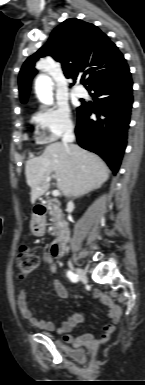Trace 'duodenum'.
I'll return each instance as SVG.
<instances>
[{
	"mask_svg": "<svg viewBox=\"0 0 145 385\" xmlns=\"http://www.w3.org/2000/svg\"><path fill=\"white\" fill-rule=\"evenodd\" d=\"M47 207L46 205L40 204L35 209V220L34 224L40 228L39 233L44 231V217L46 215ZM69 239V227L68 224L63 222L60 225V230L57 238L53 241L51 245V254L55 257H59L63 254L66 247L67 241Z\"/></svg>",
	"mask_w": 145,
	"mask_h": 385,
	"instance_id": "obj_1",
	"label": "duodenum"
}]
</instances>
